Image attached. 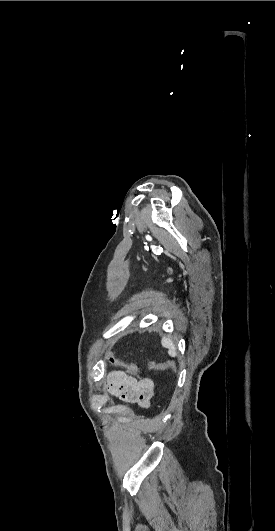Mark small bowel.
I'll return each instance as SVG.
<instances>
[{
	"label": "small bowel",
	"instance_id": "1",
	"mask_svg": "<svg viewBox=\"0 0 275 531\" xmlns=\"http://www.w3.org/2000/svg\"><path fill=\"white\" fill-rule=\"evenodd\" d=\"M106 392L120 398L124 403L137 405L142 409L149 407L155 396L154 381L147 377L137 378L124 371L114 370L108 373Z\"/></svg>",
	"mask_w": 275,
	"mask_h": 531
}]
</instances>
